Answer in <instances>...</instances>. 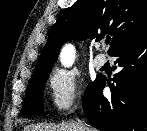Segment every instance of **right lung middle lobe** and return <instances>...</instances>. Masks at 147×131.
Returning <instances> with one entry per match:
<instances>
[{"label": "right lung middle lobe", "mask_w": 147, "mask_h": 131, "mask_svg": "<svg viewBox=\"0 0 147 131\" xmlns=\"http://www.w3.org/2000/svg\"><path fill=\"white\" fill-rule=\"evenodd\" d=\"M49 72L50 70H46L38 74H35L31 77L23 101V107L21 110L22 115H27L33 112H39L43 110L42 109L43 88L46 84ZM89 86L87 87V89L89 88Z\"/></svg>", "instance_id": "1"}]
</instances>
